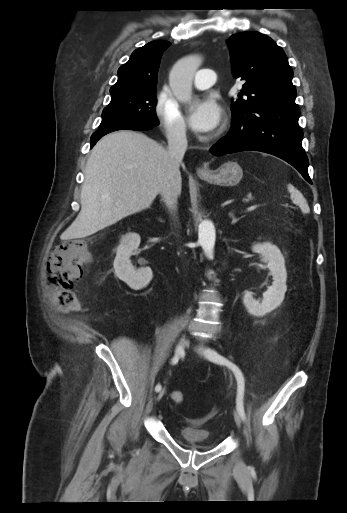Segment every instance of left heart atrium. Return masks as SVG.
<instances>
[{"label": "left heart atrium", "instance_id": "left-heart-atrium-1", "mask_svg": "<svg viewBox=\"0 0 347 513\" xmlns=\"http://www.w3.org/2000/svg\"><path fill=\"white\" fill-rule=\"evenodd\" d=\"M222 110L213 96H204L193 103L189 109L190 127L198 133H211L220 124Z\"/></svg>", "mask_w": 347, "mask_h": 513}]
</instances>
